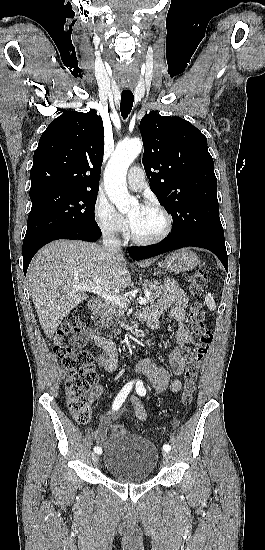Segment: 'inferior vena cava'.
I'll return each instance as SVG.
<instances>
[{
	"label": "inferior vena cava",
	"mask_w": 265,
	"mask_h": 550,
	"mask_svg": "<svg viewBox=\"0 0 265 550\" xmlns=\"http://www.w3.org/2000/svg\"><path fill=\"white\" fill-rule=\"evenodd\" d=\"M103 245L108 255L114 258L115 255L121 253V240L117 238L111 229L102 231Z\"/></svg>",
	"instance_id": "obj_1"
}]
</instances>
